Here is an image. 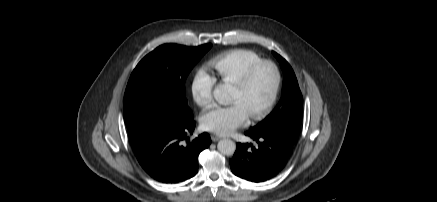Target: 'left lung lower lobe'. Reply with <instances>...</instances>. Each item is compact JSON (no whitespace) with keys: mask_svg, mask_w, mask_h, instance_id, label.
Returning a JSON list of instances; mask_svg holds the SVG:
<instances>
[{"mask_svg":"<svg viewBox=\"0 0 437 202\" xmlns=\"http://www.w3.org/2000/svg\"><path fill=\"white\" fill-rule=\"evenodd\" d=\"M257 144L238 143L230 160L232 172L247 181L263 182L278 174L292 153L293 144L280 135L249 130Z\"/></svg>","mask_w":437,"mask_h":202,"instance_id":"1","label":"left lung lower lobe"}]
</instances>
